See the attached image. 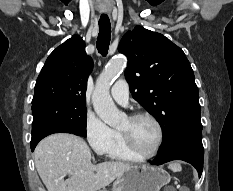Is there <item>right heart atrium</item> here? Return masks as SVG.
<instances>
[{
    "instance_id": "right-heart-atrium-1",
    "label": "right heart atrium",
    "mask_w": 233,
    "mask_h": 191,
    "mask_svg": "<svg viewBox=\"0 0 233 191\" xmlns=\"http://www.w3.org/2000/svg\"><path fill=\"white\" fill-rule=\"evenodd\" d=\"M85 135L99 156L108 155L116 141V132L92 113H88L85 120Z\"/></svg>"
}]
</instances>
